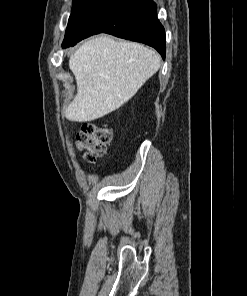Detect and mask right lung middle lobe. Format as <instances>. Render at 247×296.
I'll return each instance as SVG.
<instances>
[{
    "instance_id": "obj_1",
    "label": "right lung middle lobe",
    "mask_w": 247,
    "mask_h": 296,
    "mask_svg": "<svg viewBox=\"0 0 247 296\" xmlns=\"http://www.w3.org/2000/svg\"><path fill=\"white\" fill-rule=\"evenodd\" d=\"M109 0H73V8L68 21L63 48L74 46L84 39L88 23L108 3Z\"/></svg>"
}]
</instances>
